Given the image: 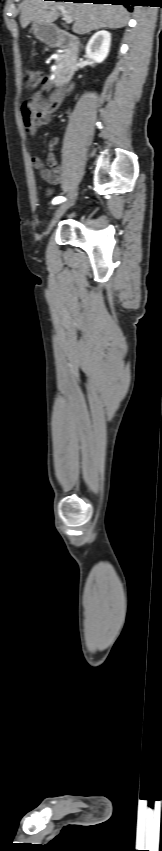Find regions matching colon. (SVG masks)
<instances>
[{
	"label": "colon",
	"instance_id": "colon-1",
	"mask_svg": "<svg viewBox=\"0 0 162 851\" xmlns=\"http://www.w3.org/2000/svg\"><path fill=\"white\" fill-rule=\"evenodd\" d=\"M24 83L28 89H34L43 82L42 73L38 70H26L23 75Z\"/></svg>",
	"mask_w": 162,
	"mask_h": 851
}]
</instances>
